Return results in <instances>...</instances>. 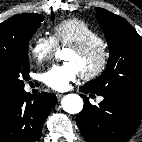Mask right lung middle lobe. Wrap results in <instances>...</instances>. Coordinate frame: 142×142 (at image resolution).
<instances>
[{"mask_svg": "<svg viewBox=\"0 0 142 142\" xmlns=\"http://www.w3.org/2000/svg\"><path fill=\"white\" fill-rule=\"evenodd\" d=\"M43 20L42 15L25 14L16 32L0 40V91L15 95L24 90L30 71L28 42Z\"/></svg>", "mask_w": 142, "mask_h": 142, "instance_id": "right-lung-middle-lobe-1", "label": "right lung middle lobe"}]
</instances>
